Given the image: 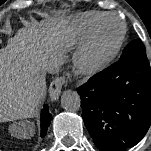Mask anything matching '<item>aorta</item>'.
<instances>
[{"instance_id": "obj_1", "label": "aorta", "mask_w": 151, "mask_h": 151, "mask_svg": "<svg viewBox=\"0 0 151 151\" xmlns=\"http://www.w3.org/2000/svg\"><path fill=\"white\" fill-rule=\"evenodd\" d=\"M61 104L67 111H76L80 108L81 99L76 91L66 90L61 96Z\"/></svg>"}]
</instances>
